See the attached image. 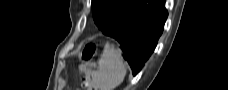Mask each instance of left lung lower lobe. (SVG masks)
Returning a JSON list of instances; mask_svg holds the SVG:
<instances>
[{"label": "left lung lower lobe", "mask_w": 228, "mask_h": 90, "mask_svg": "<svg viewBox=\"0 0 228 90\" xmlns=\"http://www.w3.org/2000/svg\"><path fill=\"white\" fill-rule=\"evenodd\" d=\"M164 4V0H133L130 10L103 31L120 43L133 75L150 57L163 31L168 16Z\"/></svg>", "instance_id": "1"}]
</instances>
